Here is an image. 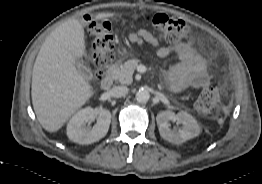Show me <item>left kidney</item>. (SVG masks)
I'll use <instances>...</instances> for the list:
<instances>
[{
    "label": "left kidney",
    "mask_w": 262,
    "mask_h": 184,
    "mask_svg": "<svg viewBox=\"0 0 262 184\" xmlns=\"http://www.w3.org/2000/svg\"><path fill=\"white\" fill-rule=\"evenodd\" d=\"M157 125L163 139L174 144H181L200 134V127L197 121L189 113L182 111L175 114L171 111H162L157 114ZM169 121H178L183 129L175 131L170 129Z\"/></svg>",
    "instance_id": "left-kidney-1"
}]
</instances>
